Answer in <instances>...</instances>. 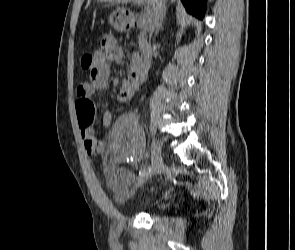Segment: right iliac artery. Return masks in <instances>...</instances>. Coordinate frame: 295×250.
<instances>
[{"label":"right iliac artery","mask_w":295,"mask_h":250,"mask_svg":"<svg viewBox=\"0 0 295 250\" xmlns=\"http://www.w3.org/2000/svg\"><path fill=\"white\" fill-rule=\"evenodd\" d=\"M127 161H128V160H127ZM153 163H154V159H153V157H152L151 164L148 165V166H146V167H144V168L140 171V175H143V174H146V173L150 172V170H151V168H152V166H153Z\"/></svg>","instance_id":"obj_1"}]
</instances>
